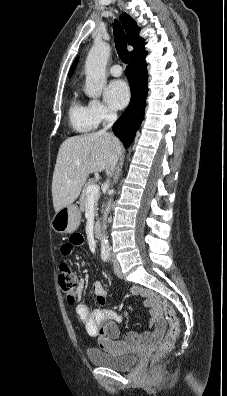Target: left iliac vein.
Wrapping results in <instances>:
<instances>
[{
  "label": "left iliac vein",
  "mask_w": 227,
  "mask_h": 396,
  "mask_svg": "<svg viewBox=\"0 0 227 396\" xmlns=\"http://www.w3.org/2000/svg\"><path fill=\"white\" fill-rule=\"evenodd\" d=\"M114 266V272L119 278H123V273L120 267V264L117 261H114L113 263Z\"/></svg>",
  "instance_id": "left-iliac-vein-1"
}]
</instances>
